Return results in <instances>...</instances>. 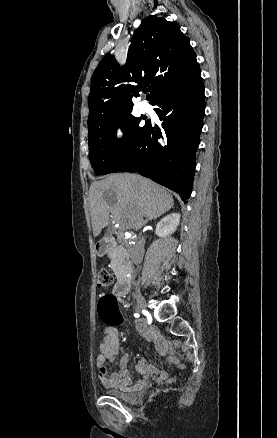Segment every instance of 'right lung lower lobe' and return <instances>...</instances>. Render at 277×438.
<instances>
[{"mask_svg": "<svg viewBox=\"0 0 277 438\" xmlns=\"http://www.w3.org/2000/svg\"><path fill=\"white\" fill-rule=\"evenodd\" d=\"M178 66L167 63L173 71ZM151 105L162 129L150 120L139 142L115 172H139L177 192L184 203L190 197L195 173V153L203 127L204 85L200 70L163 89Z\"/></svg>", "mask_w": 277, "mask_h": 438, "instance_id": "obj_1", "label": "right lung lower lobe"}]
</instances>
